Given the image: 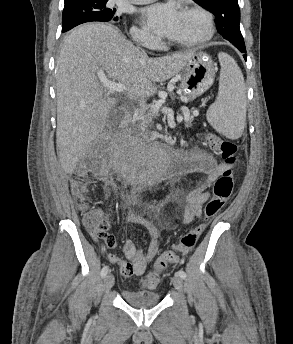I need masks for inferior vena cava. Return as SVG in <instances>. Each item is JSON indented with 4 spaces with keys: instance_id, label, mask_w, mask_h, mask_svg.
<instances>
[{
    "instance_id": "inferior-vena-cava-1",
    "label": "inferior vena cava",
    "mask_w": 293,
    "mask_h": 344,
    "mask_svg": "<svg viewBox=\"0 0 293 344\" xmlns=\"http://www.w3.org/2000/svg\"><path fill=\"white\" fill-rule=\"evenodd\" d=\"M133 39L136 40V41H138V40L140 39V36H139L138 34H134V35H133Z\"/></svg>"
}]
</instances>
